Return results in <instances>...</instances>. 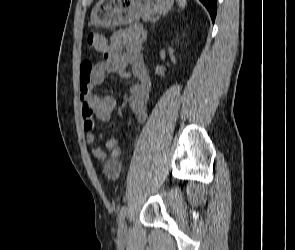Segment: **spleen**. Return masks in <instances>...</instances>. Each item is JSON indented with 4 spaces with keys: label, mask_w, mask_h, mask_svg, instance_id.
Instances as JSON below:
<instances>
[{
    "label": "spleen",
    "mask_w": 295,
    "mask_h": 250,
    "mask_svg": "<svg viewBox=\"0 0 295 250\" xmlns=\"http://www.w3.org/2000/svg\"><path fill=\"white\" fill-rule=\"evenodd\" d=\"M178 1V5L180 8L184 9L186 6V0H177Z\"/></svg>",
    "instance_id": "3e777b00"
}]
</instances>
